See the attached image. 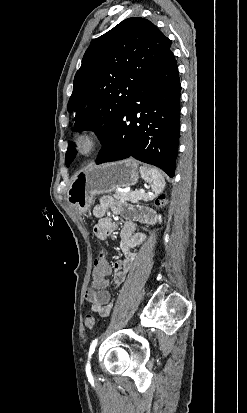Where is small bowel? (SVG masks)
<instances>
[{
  "label": "small bowel",
  "mask_w": 247,
  "mask_h": 413,
  "mask_svg": "<svg viewBox=\"0 0 247 413\" xmlns=\"http://www.w3.org/2000/svg\"><path fill=\"white\" fill-rule=\"evenodd\" d=\"M110 210L113 214H123L127 219L121 230L120 250L123 257L109 263L110 274H113L114 288L122 286L127 273L133 268L137 254L132 250L134 247L143 244L146 235L135 232L138 223L152 224L157 221V215L147 209L135 206H122L110 196H102L93 208V216L99 221L94 230L98 237L109 236L114 230L112 221L105 217ZM96 262V261H95ZM109 282L106 277H92V286L85 292V300L91 304V311L101 317H108L113 309L111 294L107 290Z\"/></svg>",
  "instance_id": "1"
}]
</instances>
